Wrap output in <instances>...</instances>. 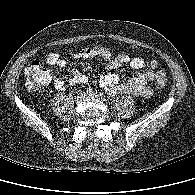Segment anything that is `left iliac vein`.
Segmentation results:
<instances>
[{
    "instance_id": "4c4485c4",
    "label": "left iliac vein",
    "mask_w": 195,
    "mask_h": 195,
    "mask_svg": "<svg viewBox=\"0 0 195 195\" xmlns=\"http://www.w3.org/2000/svg\"><path fill=\"white\" fill-rule=\"evenodd\" d=\"M87 97L100 99V96L95 92L87 93Z\"/></svg>"
}]
</instances>
